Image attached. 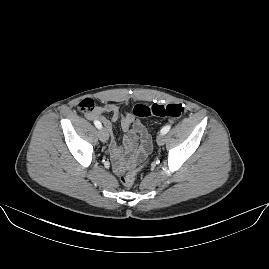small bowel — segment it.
Returning a JSON list of instances; mask_svg holds the SVG:
<instances>
[{
    "label": "small bowel",
    "instance_id": "c3829d8e",
    "mask_svg": "<svg viewBox=\"0 0 269 269\" xmlns=\"http://www.w3.org/2000/svg\"><path fill=\"white\" fill-rule=\"evenodd\" d=\"M105 113H111V119L103 116ZM91 119L99 118L103 121L108 134L110 135L109 152L116 173L122 174L129 167L141 163L146 155L143 152L142 140L143 131L146 129L144 124L135 120L131 115L122 114L117 104L107 103L98 107L90 116ZM121 120V129L123 131V150L118 146L113 135L112 123ZM140 139V145H137V138Z\"/></svg>",
    "mask_w": 269,
    "mask_h": 269
}]
</instances>
